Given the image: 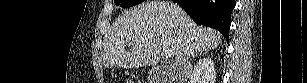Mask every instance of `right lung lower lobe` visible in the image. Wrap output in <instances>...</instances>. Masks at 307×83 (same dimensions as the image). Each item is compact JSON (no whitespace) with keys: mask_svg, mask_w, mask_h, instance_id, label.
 <instances>
[{"mask_svg":"<svg viewBox=\"0 0 307 83\" xmlns=\"http://www.w3.org/2000/svg\"><path fill=\"white\" fill-rule=\"evenodd\" d=\"M198 24L218 30L228 41L235 0H174Z\"/></svg>","mask_w":307,"mask_h":83,"instance_id":"right-lung-lower-lobe-1","label":"right lung lower lobe"}]
</instances>
